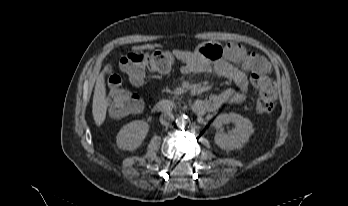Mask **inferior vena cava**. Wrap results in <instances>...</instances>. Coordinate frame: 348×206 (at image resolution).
Segmentation results:
<instances>
[{"mask_svg":"<svg viewBox=\"0 0 348 206\" xmlns=\"http://www.w3.org/2000/svg\"><path fill=\"white\" fill-rule=\"evenodd\" d=\"M174 120V116L170 111H166L161 114L160 116V122L163 125H169L170 122Z\"/></svg>","mask_w":348,"mask_h":206,"instance_id":"1","label":"inferior vena cava"}]
</instances>
